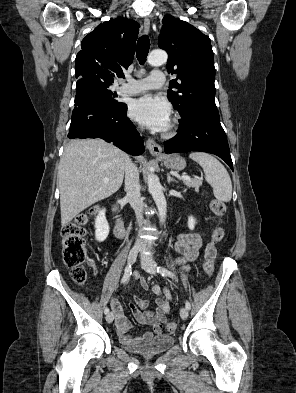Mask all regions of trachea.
Returning <instances> with one entry per match:
<instances>
[{
  "label": "trachea",
  "instance_id": "1",
  "mask_svg": "<svg viewBox=\"0 0 296 393\" xmlns=\"http://www.w3.org/2000/svg\"><path fill=\"white\" fill-rule=\"evenodd\" d=\"M150 48V40L147 35H143L138 39L136 56L141 65L146 62L147 54Z\"/></svg>",
  "mask_w": 296,
  "mask_h": 393
}]
</instances>
